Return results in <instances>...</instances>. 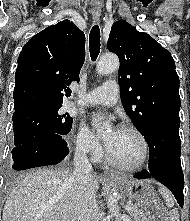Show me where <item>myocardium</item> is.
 Returning <instances> with one entry per match:
<instances>
[{
  "label": "myocardium",
  "mask_w": 190,
  "mask_h": 221,
  "mask_svg": "<svg viewBox=\"0 0 190 221\" xmlns=\"http://www.w3.org/2000/svg\"><path fill=\"white\" fill-rule=\"evenodd\" d=\"M118 129L133 132L139 138V140L141 141L142 147H143L142 157H141L140 161L134 165H128V164L122 163L121 161H119L118 159H116L114 157V155L111 153V151L109 150L108 146L105 143L104 151H105V156H106L107 160L111 164L116 166L117 168L124 170V171L133 172V171L141 170L146 165L148 158H149V143H148L146 136L141 132V130H139L134 125L123 124Z\"/></svg>",
  "instance_id": "obj_1"
}]
</instances>
